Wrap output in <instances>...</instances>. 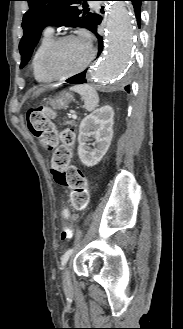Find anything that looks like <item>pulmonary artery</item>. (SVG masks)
Listing matches in <instances>:
<instances>
[{
    "mask_svg": "<svg viewBox=\"0 0 183 329\" xmlns=\"http://www.w3.org/2000/svg\"><path fill=\"white\" fill-rule=\"evenodd\" d=\"M91 6H92L94 9H98V8H99V5H98L97 2H93V3L91 4ZM45 32H47V33H52V32H53V29H52L51 27H47V28L45 29Z\"/></svg>",
    "mask_w": 183,
    "mask_h": 329,
    "instance_id": "pulmonary-artery-1",
    "label": "pulmonary artery"
}]
</instances>
